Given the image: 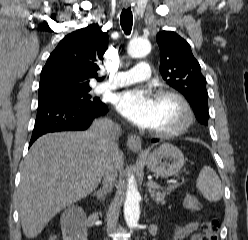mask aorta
I'll use <instances>...</instances> for the list:
<instances>
[{
    "instance_id": "aorta-1",
    "label": "aorta",
    "mask_w": 248,
    "mask_h": 240,
    "mask_svg": "<svg viewBox=\"0 0 248 240\" xmlns=\"http://www.w3.org/2000/svg\"><path fill=\"white\" fill-rule=\"evenodd\" d=\"M151 51V45L145 39H133L130 41L127 52L132 58H142L148 55ZM140 194L137 190L134 176H129L126 200L124 204V217L125 221L130 228L138 225L140 218Z\"/></svg>"
}]
</instances>
